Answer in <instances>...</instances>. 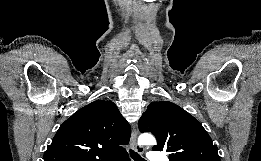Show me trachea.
<instances>
[{
	"label": "trachea",
	"mask_w": 261,
	"mask_h": 161,
	"mask_svg": "<svg viewBox=\"0 0 261 161\" xmlns=\"http://www.w3.org/2000/svg\"><path fill=\"white\" fill-rule=\"evenodd\" d=\"M131 158L134 159V161H146L144 158L140 156L137 152L133 150H129Z\"/></svg>",
	"instance_id": "trachea-1"
}]
</instances>
